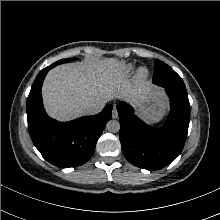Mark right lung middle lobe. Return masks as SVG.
I'll return each instance as SVG.
<instances>
[{"label":"right lung middle lobe","instance_id":"1","mask_svg":"<svg viewBox=\"0 0 220 220\" xmlns=\"http://www.w3.org/2000/svg\"><path fill=\"white\" fill-rule=\"evenodd\" d=\"M76 60V58H68V59H62V60H59L57 62L54 63V65H58V64H62V63H65V62H71V61H74Z\"/></svg>","mask_w":220,"mask_h":220}]
</instances>
